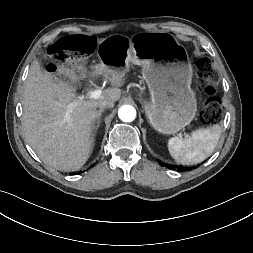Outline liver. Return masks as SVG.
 I'll list each match as a JSON object with an SVG mask.
<instances>
[{"label":"liver","instance_id":"obj_1","mask_svg":"<svg viewBox=\"0 0 253 253\" xmlns=\"http://www.w3.org/2000/svg\"><path fill=\"white\" fill-rule=\"evenodd\" d=\"M95 74L108 79L113 88L99 99L84 100L76 97L70 83L55 82L38 61L30 66L22 101V126L27 142L47 166L76 171L89 159L98 104L105 99L119 100L125 72L99 65Z\"/></svg>","mask_w":253,"mask_h":253}]
</instances>
